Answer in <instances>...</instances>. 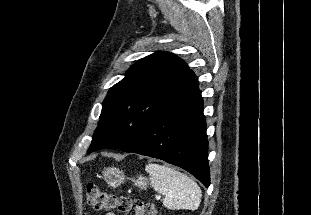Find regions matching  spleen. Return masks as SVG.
I'll return each instance as SVG.
<instances>
[{
	"instance_id": "3e777b00",
	"label": "spleen",
	"mask_w": 311,
	"mask_h": 215,
	"mask_svg": "<svg viewBox=\"0 0 311 215\" xmlns=\"http://www.w3.org/2000/svg\"><path fill=\"white\" fill-rule=\"evenodd\" d=\"M155 191L165 196L163 205L171 210H196L202 192L198 184L174 168L150 163L145 168Z\"/></svg>"
}]
</instances>
